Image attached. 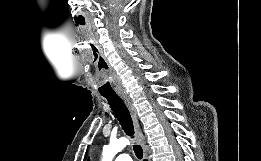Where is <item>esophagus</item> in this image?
<instances>
[{"label": "esophagus", "instance_id": "obj_1", "mask_svg": "<svg viewBox=\"0 0 261 161\" xmlns=\"http://www.w3.org/2000/svg\"><path fill=\"white\" fill-rule=\"evenodd\" d=\"M119 96L123 100V102L125 103L126 107L128 108V110L130 112V115H131L132 120H133L134 129H135V133H136V137L138 139V142L142 146H144L145 140H144V136H143L141 129H140V125H139V121H138V117H137V111H136L132 101L127 96V94L120 93Z\"/></svg>", "mask_w": 261, "mask_h": 161}]
</instances>
